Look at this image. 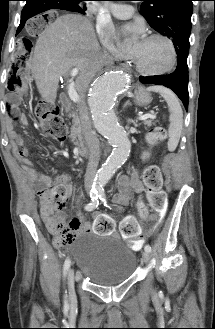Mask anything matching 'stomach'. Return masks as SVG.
<instances>
[{"label":"stomach","instance_id":"stomach-1","mask_svg":"<svg viewBox=\"0 0 215 329\" xmlns=\"http://www.w3.org/2000/svg\"><path fill=\"white\" fill-rule=\"evenodd\" d=\"M151 95L146 92L143 88H138L135 91V102L139 106H146L151 101Z\"/></svg>","mask_w":215,"mask_h":329}]
</instances>
